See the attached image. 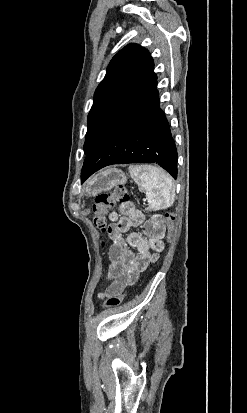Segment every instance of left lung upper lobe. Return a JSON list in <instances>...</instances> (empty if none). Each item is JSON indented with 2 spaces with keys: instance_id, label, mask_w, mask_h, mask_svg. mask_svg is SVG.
<instances>
[{
  "instance_id": "5c2ea615",
  "label": "left lung upper lobe",
  "mask_w": 247,
  "mask_h": 413,
  "mask_svg": "<svg viewBox=\"0 0 247 413\" xmlns=\"http://www.w3.org/2000/svg\"><path fill=\"white\" fill-rule=\"evenodd\" d=\"M156 79L150 53L137 44L126 46L112 58L88 114L85 154Z\"/></svg>"
}]
</instances>
